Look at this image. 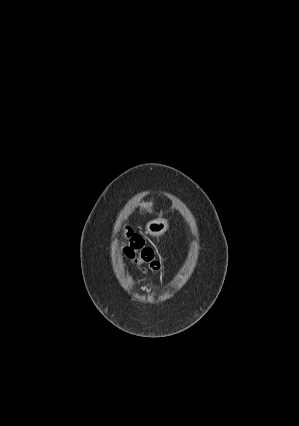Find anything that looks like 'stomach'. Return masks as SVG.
<instances>
[{
	"label": "stomach",
	"mask_w": 299,
	"mask_h": 426,
	"mask_svg": "<svg viewBox=\"0 0 299 426\" xmlns=\"http://www.w3.org/2000/svg\"><path fill=\"white\" fill-rule=\"evenodd\" d=\"M168 229V220L162 217L152 219L146 224V233L155 237L163 235Z\"/></svg>",
	"instance_id": "1"
}]
</instances>
